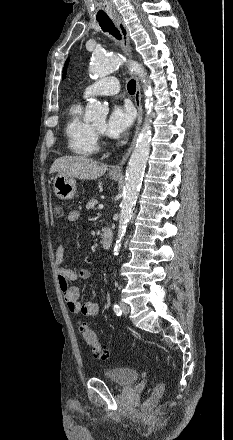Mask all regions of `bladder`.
I'll list each match as a JSON object with an SVG mask.
<instances>
[{
	"label": "bladder",
	"instance_id": "bladder-1",
	"mask_svg": "<svg viewBox=\"0 0 233 440\" xmlns=\"http://www.w3.org/2000/svg\"><path fill=\"white\" fill-rule=\"evenodd\" d=\"M102 378L117 386L128 387L138 380L139 371L130 367H116L104 372Z\"/></svg>",
	"mask_w": 233,
	"mask_h": 440
}]
</instances>
